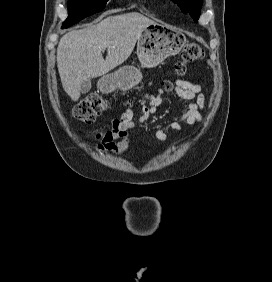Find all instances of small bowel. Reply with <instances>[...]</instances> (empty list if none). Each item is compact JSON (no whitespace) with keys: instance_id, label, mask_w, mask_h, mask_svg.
<instances>
[{"instance_id":"c3829d8e","label":"small bowel","mask_w":272,"mask_h":282,"mask_svg":"<svg viewBox=\"0 0 272 282\" xmlns=\"http://www.w3.org/2000/svg\"><path fill=\"white\" fill-rule=\"evenodd\" d=\"M176 93L180 98L188 100L189 103L178 121H170L156 131L157 139L162 142L167 140V130H180V122L195 125L203 120L204 95L201 85L185 80L178 81ZM162 94L163 90H159L158 96H151L149 104L142 106V113L137 118H134L131 110H126L120 118L112 120V128L106 135L109 149L115 154L125 153L129 149L131 141L127 137V130L145 123L150 115L158 112L162 103ZM117 139L120 141L115 143Z\"/></svg>"}]
</instances>
